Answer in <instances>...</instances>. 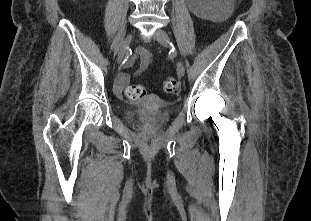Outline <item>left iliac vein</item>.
I'll return each mask as SVG.
<instances>
[{
  "label": "left iliac vein",
  "mask_w": 311,
  "mask_h": 221,
  "mask_svg": "<svg viewBox=\"0 0 311 221\" xmlns=\"http://www.w3.org/2000/svg\"><path fill=\"white\" fill-rule=\"evenodd\" d=\"M153 38L156 41H158L161 45L169 46V37H168V34L164 30L162 29L156 30L153 35ZM177 74L179 77H183L185 74V68L180 61L177 62Z\"/></svg>",
  "instance_id": "left-iliac-vein-1"
}]
</instances>
